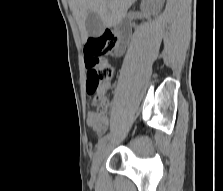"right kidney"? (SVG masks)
Returning a JSON list of instances; mask_svg holds the SVG:
<instances>
[{
    "label": "right kidney",
    "instance_id": "right-kidney-1",
    "mask_svg": "<svg viewBox=\"0 0 223 191\" xmlns=\"http://www.w3.org/2000/svg\"><path fill=\"white\" fill-rule=\"evenodd\" d=\"M153 0H144L143 3H142V8H147L149 7L150 5L153 4Z\"/></svg>",
    "mask_w": 223,
    "mask_h": 191
}]
</instances>
